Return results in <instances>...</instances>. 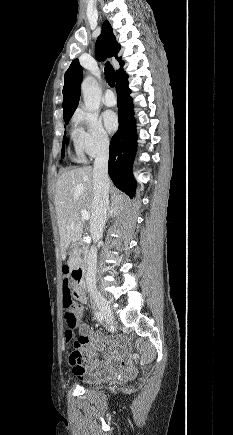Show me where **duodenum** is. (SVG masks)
<instances>
[{
    "instance_id": "1",
    "label": "duodenum",
    "mask_w": 233,
    "mask_h": 435,
    "mask_svg": "<svg viewBox=\"0 0 233 435\" xmlns=\"http://www.w3.org/2000/svg\"><path fill=\"white\" fill-rule=\"evenodd\" d=\"M88 251V246L84 242H81L76 248L70 249L67 254L66 258L70 262L75 253H86ZM74 287H73V295L76 300L80 302L86 301V294L84 289V277L86 274V268L84 266H78L74 268Z\"/></svg>"
}]
</instances>
